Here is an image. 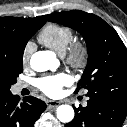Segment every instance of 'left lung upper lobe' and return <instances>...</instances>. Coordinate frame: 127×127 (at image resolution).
Returning a JSON list of instances; mask_svg holds the SVG:
<instances>
[{"instance_id": "obj_1", "label": "left lung upper lobe", "mask_w": 127, "mask_h": 127, "mask_svg": "<svg viewBox=\"0 0 127 127\" xmlns=\"http://www.w3.org/2000/svg\"><path fill=\"white\" fill-rule=\"evenodd\" d=\"M49 21L77 30L86 41L88 63L75 93L81 88L88 93L100 89L127 91V50L112 27L80 10L55 13Z\"/></svg>"}]
</instances>
